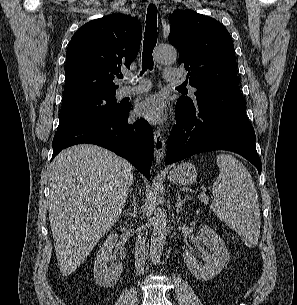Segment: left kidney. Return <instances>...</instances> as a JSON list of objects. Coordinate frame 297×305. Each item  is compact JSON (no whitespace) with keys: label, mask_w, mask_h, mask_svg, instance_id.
Returning a JSON list of instances; mask_svg holds the SVG:
<instances>
[{"label":"left kidney","mask_w":297,"mask_h":305,"mask_svg":"<svg viewBox=\"0 0 297 305\" xmlns=\"http://www.w3.org/2000/svg\"><path fill=\"white\" fill-rule=\"evenodd\" d=\"M200 238L203 243L198 248L206 247L207 249L203 263L195 257L193 247L185 250L183 258L186 267L194 277L201 281H208L218 275L228 264L230 255L224 241L209 226H203L200 229Z\"/></svg>","instance_id":"1"}]
</instances>
